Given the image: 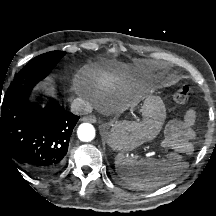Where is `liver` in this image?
<instances>
[{
    "label": "liver",
    "instance_id": "obj_1",
    "mask_svg": "<svg viewBox=\"0 0 216 216\" xmlns=\"http://www.w3.org/2000/svg\"><path fill=\"white\" fill-rule=\"evenodd\" d=\"M141 100V96L137 94H132L128 99V105L135 106Z\"/></svg>",
    "mask_w": 216,
    "mask_h": 216
}]
</instances>
